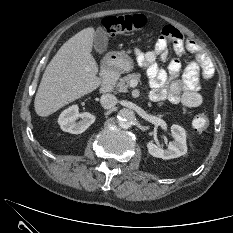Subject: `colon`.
Returning <instances> with one entry per match:
<instances>
[{
  "label": "colon",
  "mask_w": 233,
  "mask_h": 233,
  "mask_svg": "<svg viewBox=\"0 0 233 233\" xmlns=\"http://www.w3.org/2000/svg\"><path fill=\"white\" fill-rule=\"evenodd\" d=\"M147 19L143 15L108 16L102 20V27L110 36H117L145 27ZM210 124L209 115L205 112L197 114L192 126L198 133L205 132Z\"/></svg>",
  "instance_id": "obj_1"
}]
</instances>
